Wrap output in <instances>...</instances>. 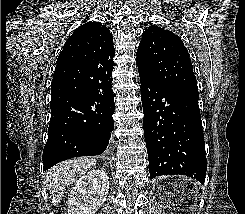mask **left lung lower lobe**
<instances>
[{"instance_id": "left-lung-lower-lobe-1", "label": "left lung lower lobe", "mask_w": 245, "mask_h": 214, "mask_svg": "<svg viewBox=\"0 0 245 214\" xmlns=\"http://www.w3.org/2000/svg\"><path fill=\"white\" fill-rule=\"evenodd\" d=\"M139 75L150 178L186 175L203 184L207 159L198 88Z\"/></svg>"}]
</instances>
